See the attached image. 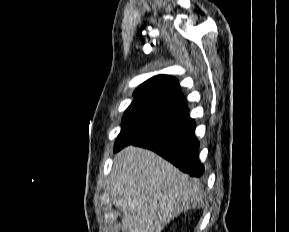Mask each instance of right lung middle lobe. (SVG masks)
<instances>
[{
  "label": "right lung middle lobe",
  "mask_w": 289,
  "mask_h": 232,
  "mask_svg": "<svg viewBox=\"0 0 289 232\" xmlns=\"http://www.w3.org/2000/svg\"><path fill=\"white\" fill-rule=\"evenodd\" d=\"M184 113L147 103L132 102L124 113L122 129L114 151L127 146L162 126L179 119Z\"/></svg>",
  "instance_id": "obj_1"
}]
</instances>
